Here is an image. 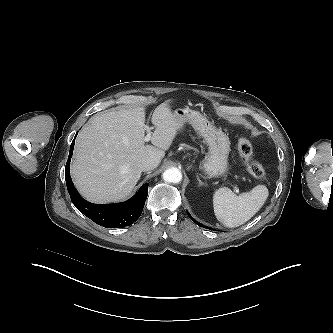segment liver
I'll return each mask as SVG.
<instances>
[{"mask_svg": "<svg viewBox=\"0 0 333 333\" xmlns=\"http://www.w3.org/2000/svg\"><path fill=\"white\" fill-rule=\"evenodd\" d=\"M151 122L152 145L144 142L145 110H107L92 117L78 134L71 175L78 191L95 203L116 202L131 194L141 177V162L161 160L182 126L163 103L155 108Z\"/></svg>", "mask_w": 333, "mask_h": 333, "instance_id": "liver-1", "label": "liver"}]
</instances>
